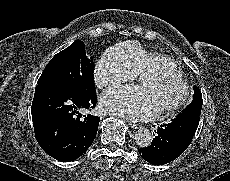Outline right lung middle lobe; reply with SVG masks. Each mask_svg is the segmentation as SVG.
Listing matches in <instances>:
<instances>
[{
  "mask_svg": "<svg viewBox=\"0 0 230 181\" xmlns=\"http://www.w3.org/2000/svg\"><path fill=\"white\" fill-rule=\"evenodd\" d=\"M93 59L86 56L84 44L76 40L57 53L41 74L35 91L43 88H69L96 94Z\"/></svg>",
  "mask_w": 230,
  "mask_h": 181,
  "instance_id": "dd1d6c3e",
  "label": "right lung middle lobe"
}]
</instances>
